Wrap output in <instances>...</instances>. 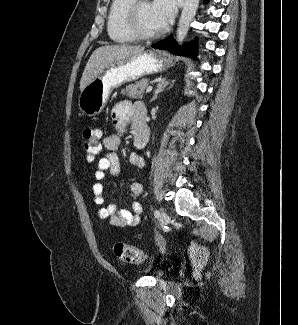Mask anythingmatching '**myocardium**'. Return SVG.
Listing matches in <instances>:
<instances>
[{
	"label": "myocardium",
	"instance_id": "f54148a6",
	"mask_svg": "<svg viewBox=\"0 0 298 325\" xmlns=\"http://www.w3.org/2000/svg\"><path fill=\"white\" fill-rule=\"evenodd\" d=\"M149 0H129L126 4L122 15V27L124 31L134 40L151 41L159 38L163 34V30L157 33L146 34L139 31L135 21V14L138 7Z\"/></svg>",
	"mask_w": 298,
	"mask_h": 325
}]
</instances>
